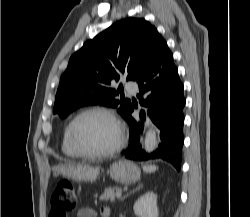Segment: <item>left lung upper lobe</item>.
<instances>
[{"label": "left lung upper lobe", "instance_id": "obj_1", "mask_svg": "<svg viewBox=\"0 0 250 217\" xmlns=\"http://www.w3.org/2000/svg\"><path fill=\"white\" fill-rule=\"evenodd\" d=\"M163 40L156 28L143 18L116 22L88 40L74 53L60 79L53 113L67 117L75 109L90 104L117 108L125 118L131 101L117 99L121 88L111 87L122 73L136 80L152 63Z\"/></svg>", "mask_w": 250, "mask_h": 217}]
</instances>
